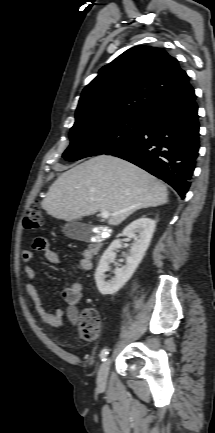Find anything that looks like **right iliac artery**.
Here are the masks:
<instances>
[{"instance_id":"obj_1","label":"right iliac artery","mask_w":215,"mask_h":433,"mask_svg":"<svg viewBox=\"0 0 215 433\" xmlns=\"http://www.w3.org/2000/svg\"><path fill=\"white\" fill-rule=\"evenodd\" d=\"M107 355H108V349H107V348H104V349L101 351V353H100V358H101V360H102V361H105Z\"/></svg>"}]
</instances>
